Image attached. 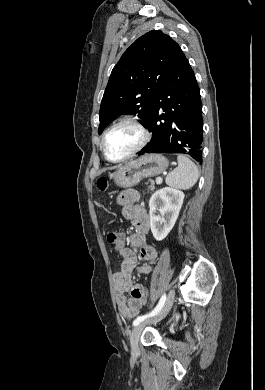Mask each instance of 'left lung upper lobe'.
<instances>
[{
    "label": "left lung upper lobe",
    "mask_w": 265,
    "mask_h": 390,
    "mask_svg": "<svg viewBox=\"0 0 265 390\" xmlns=\"http://www.w3.org/2000/svg\"><path fill=\"white\" fill-rule=\"evenodd\" d=\"M183 54L168 35L152 30L138 38L113 68L99 113L101 134L122 114H138L147 127L154 98Z\"/></svg>",
    "instance_id": "1"
}]
</instances>
